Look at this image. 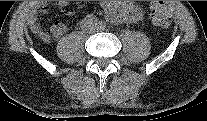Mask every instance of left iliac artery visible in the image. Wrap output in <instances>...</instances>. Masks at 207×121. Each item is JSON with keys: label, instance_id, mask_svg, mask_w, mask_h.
<instances>
[{"label": "left iliac artery", "instance_id": "44dca946", "mask_svg": "<svg viewBox=\"0 0 207 121\" xmlns=\"http://www.w3.org/2000/svg\"><path fill=\"white\" fill-rule=\"evenodd\" d=\"M99 26L101 29H104L106 27V24H105V22L101 21V22H99Z\"/></svg>", "mask_w": 207, "mask_h": 121}]
</instances>
